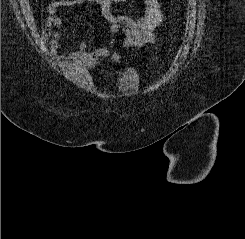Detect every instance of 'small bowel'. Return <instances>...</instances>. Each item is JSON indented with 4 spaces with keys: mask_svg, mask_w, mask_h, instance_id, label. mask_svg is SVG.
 <instances>
[{
    "mask_svg": "<svg viewBox=\"0 0 245 239\" xmlns=\"http://www.w3.org/2000/svg\"><path fill=\"white\" fill-rule=\"evenodd\" d=\"M113 2L127 4L129 0H55L47 7L48 16L45 20L44 35L49 33L52 26L58 28L50 42L51 55L59 61H69L79 67L95 68L100 58L107 54L106 48L95 51H87V42L82 41L79 49L69 55H60L57 51L61 37L60 28L63 21L58 15L63 8L79 6L84 3H92L100 7L104 18L111 24V33L121 32L124 36L123 48H142L154 41L153 31L163 20V9L159 0H144L145 13L136 17L116 14L112 11ZM121 55L115 53L112 56L114 63L119 62Z\"/></svg>",
    "mask_w": 245,
    "mask_h": 239,
    "instance_id": "small-bowel-1",
    "label": "small bowel"
}]
</instances>
